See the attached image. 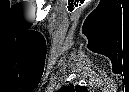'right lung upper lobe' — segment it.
I'll use <instances>...</instances> for the list:
<instances>
[{
    "instance_id": "right-lung-upper-lobe-1",
    "label": "right lung upper lobe",
    "mask_w": 129,
    "mask_h": 92,
    "mask_svg": "<svg viewBox=\"0 0 129 92\" xmlns=\"http://www.w3.org/2000/svg\"><path fill=\"white\" fill-rule=\"evenodd\" d=\"M72 90H81V87L73 85L63 86L60 90H58V92H70Z\"/></svg>"
}]
</instances>
